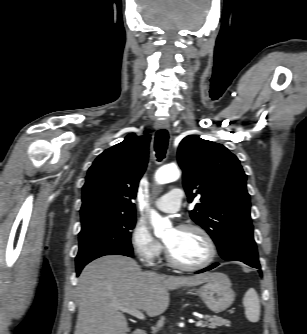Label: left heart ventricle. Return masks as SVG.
Returning <instances> with one entry per match:
<instances>
[{
	"label": "left heart ventricle",
	"mask_w": 307,
	"mask_h": 334,
	"mask_svg": "<svg viewBox=\"0 0 307 334\" xmlns=\"http://www.w3.org/2000/svg\"><path fill=\"white\" fill-rule=\"evenodd\" d=\"M173 230L165 237L174 257L183 264L194 265L203 262L209 254L204 238L194 230H178L174 240Z\"/></svg>",
	"instance_id": "obj_1"
}]
</instances>
